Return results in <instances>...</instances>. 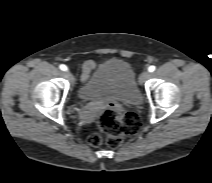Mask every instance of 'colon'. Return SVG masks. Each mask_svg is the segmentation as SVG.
<instances>
[{"label":"colon","instance_id":"1","mask_svg":"<svg viewBox=\"0 0 212 183\" xmlns=\"http://www.w3.org/2000/svg\"><path fill=\"white\" fill-rule=\"evenodd\" d=\"M96 125L103 133L107 144L117 147L128 136L136 135L140 131L142 123L136 113H120L115 107L109 106L96 117ZM102 140V136L98 133L92 134L88 138V142L95 147L101 145Z\"/></svg>","mask_w":212,"mask_h":183}]
</instances>
